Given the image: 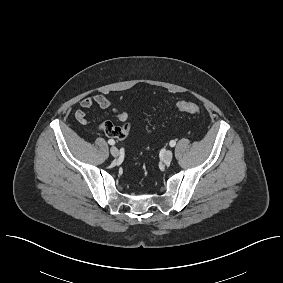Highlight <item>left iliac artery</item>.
Wrapping results in <instances>:
<instances>
[{"label":"left iliac artery","mask_w":283,"mask_h":283,"mask_svg":"<svg viewBox=\"0 0 283 283\" xmlns=\"http://www.w3.org/2000/svg\"><path fill=\"white\" fill-rule=\"evenodd\" d=\"M176 145V142L174 140L170 141V146L174 147Z\"/></svg>","instance_id":"1"}]
</instances>
